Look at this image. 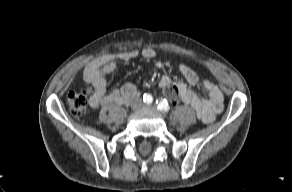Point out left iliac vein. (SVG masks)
<instances>
[{"label":"left iliac vein","instance_id":"1","mask_svg":"<svg viewBox=\"0 0 292 192\" xmlns=\"http://www.w3.org/2000/svg\"><path fill=\"white\" fill-rule=\"evenodd\" d=\"M147 108H153L152 106H147Z\"/></svg>","mask_w":292,"mask_h":192}]
</instances>
